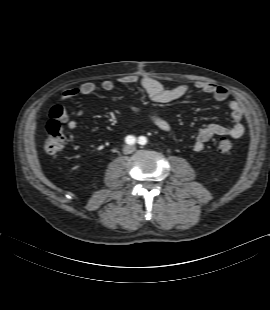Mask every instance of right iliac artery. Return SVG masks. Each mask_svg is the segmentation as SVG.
<instances>
[{
	"label": "right iliac artery",
	"instance_id": "right-iliac-artery-1",
	"mask_svg": "<svg viewBox=\"0 0 270 310\" xmlns=\"http://www.w3.org/2000/svg\"><path fill=\"white\" fill-rule=\"evenodd\" d=\"M135 142H136V138L134 136L129 135L126 137V143L127 144L133 145V144H135Z\"/></svg>",
	"mask_w": 270,
	"mask_h": 310
}]
</instances>
